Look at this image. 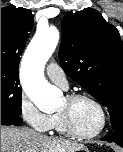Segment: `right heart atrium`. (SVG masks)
<instances>
[{"label": "right heart atrium", "mask_w": 123, "mask_h": 152, "mask_svg": "<svg viewBox=\"0 0 123 152\" xmlns=\"http://www.w3.org/2000/svg\"><path fill=\"white\" fill-rule=\"evenodd\" d=\"M19 111L23 120L36 131L47 132L52 128V115L40 111L25 94L20 97Z\"/></svg>", "instance_id": "right-heart-atrium-1"}]
</instances>
